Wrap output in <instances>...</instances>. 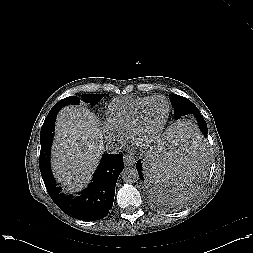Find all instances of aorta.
Here are the masks:
<instances>
[{"label":"aorta","mask_w":253,"mask_h":253,"mask_svg":"<svg viewBox=\"0 0 253 253\" xmlns=\"http://www.w3.org/2000/svg\"><path fill=\"white\" fill-rule=\"evenodd\" d=\"M121 176L126 183H135L139 179L138 171L133 167L125 168L122 171Z\"/></svg>","instance_id":"1"}]
</instances>
